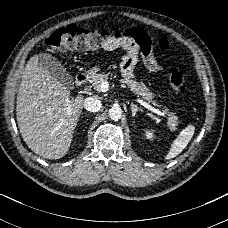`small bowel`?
<instances>
[{"mask_svg":"<svg viewBox=\"0 0 228 228\" xmlns=\"http://www.w3.org/2000/svg\"><path fill=\"white\" fill-rule=\"evenodd\" d=\"M118 48L126 51L121 64V71L126 78L133 77L139 53L142 54L143 63L149 71L157 73L162 70L155 57L150 53L152 43L147 32L143 29H132L129 36H122L119 40L113 41L104 47L106 51Z\"/></svg>","mask_w":228,"mask_h":228,"instance_id":"1","label":"small bowel"}]
</instances>
